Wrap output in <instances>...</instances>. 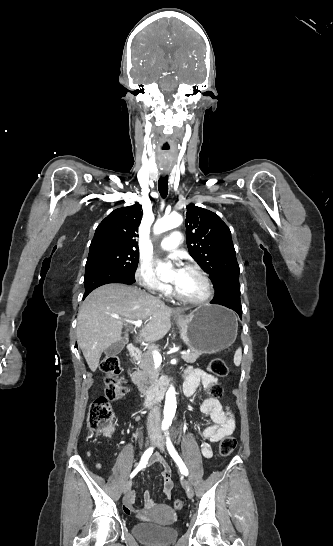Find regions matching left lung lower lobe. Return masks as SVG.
I'll return each instance as SVG.
<instances>
[{
	"label": "left lung lower lobe",
	"instance_id": "obj_1",
	"mask_svg": "<svg viewBox=\"0 0 333 546\" xmlns=\"http://www.w3.org/2000/svg\"><path fill=\"white\" fill-rule=\"evenodd\" d=\"M219 304L234 310L242 318V307L240 302V284L239 281L231 282L222 287L210 302Z\"/></svg>",
	"mask_w": 333,
	"mask_h": 546
}]
</instances>
